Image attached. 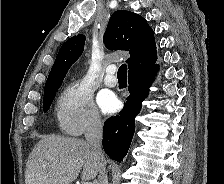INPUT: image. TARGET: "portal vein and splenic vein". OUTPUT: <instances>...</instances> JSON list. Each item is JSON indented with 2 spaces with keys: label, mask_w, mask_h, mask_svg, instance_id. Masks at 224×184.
Masks as SVG:
<instances>
[{
  "label": "portal vein and splenic vein",
  "mask_w": 224,
  "mask_h": 184,
  "mask_svg": "<svg viewBox=\"0 0 224 184\" xmlns=\"http://www.w3.org/2000/svg\"><path fill=\"white\" fill-rule=\"evenodd\" d=\"M85 184H91L90 182H86Z\"/></svg>",
  "instance_id": "18ae733b"
}]
</instances>
